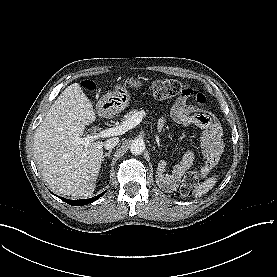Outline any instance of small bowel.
Wrapping results in <instances>:
<instances>
[{
  "label": "small bowel",
  "mask_w": 277,
  "mask_h": 277,
  "mask_svg": "<svg viewBox=\"0 0 277 277\" xmlns=\"http://www.w3.org/2000/svg\"><path fill=\"white\" fill-rule=\"evenodd\" d=\"M169 118L178 125H195L207 130L200 142V154L207 160L214 154H219L222 151V128L212 113L187 105L186 98H178L170 110ZM166 122V117L160 118L157 128L163 129ZM194 164L195 154L193 152H186L176 166L178 176H182L192 170ZM201 172L203 173L205 170L201 169Z\"/></svg>",
  "instance_id": "c3829d8e"
}]
</instances>
